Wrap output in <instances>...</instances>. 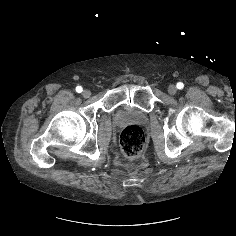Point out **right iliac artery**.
Masks as SVG:
<instances>
[{
  "label": "right iliac artery",
  "instance_id": "1",
  "mask_svg": "<svg viewBox=\"0 0 236 236\" xmlns=\"http://www.w3.org/2000/svg\"><path fill=\"white\" fill-rule=\"evenodd\" d=\"M83 91L81 86H77L76 87V92L81 93Z\"/></svg>",
  "mask_w": 236,
  "mask_h": 236
}]
</instances>
